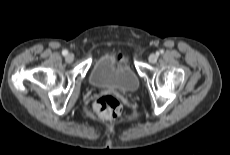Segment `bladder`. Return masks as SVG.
I'll use <instances>...</instances> for the list:
<instances>
[{
  "mask_svg": "<svg viewBox=\"0 0 230 155\" xmlns=\"http://www.w3.org/2000/svg\"><path fill=\"white\" fill-rule=\"evenodd\" d=\"M89 82L96 88H110L121 93H133L139 88V79L129 65L118 66L117 56L101 55L89 73Z\"/></svg>",
  "mask_w": 230,
  "mask_h": 155,
  "instance_id": "1",
  "label": "bladder"
}]
</instances>
